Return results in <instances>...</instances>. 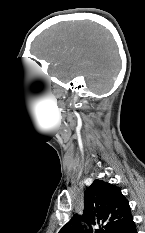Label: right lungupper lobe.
Wrapping results in <instances>:
<instances>
[{
    "label": "right lung upper lobe",
    "instance_id": "cb5924a9",
    "mask_svg": "<svg viewBox=\"0 0 145 233\" xmlns=\"http://www.w3.org/2000/svg\"><path fill=\"white\" fill-rule=\"evenodd\" d=\"M132 218L128 200L122 195L119 187L95 180L86 189L84 195V211L82 218L74 215L59 233H87L81 224L84 221L93 232L95 226L101 227V233H119ZM95 230V233H100Z\"/></svg>",
    "mask_w": 145,
    "mask_h": 233
}]
</instances>
